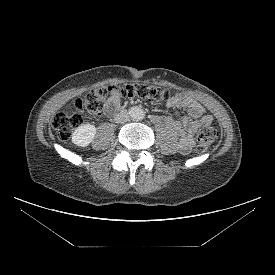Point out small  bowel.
Returning <instances> with one entry per match:
<instances>
[{
    "instance_id": "obj_1",
    "label": "small bowel",
    "mask_w": 275,
    "mask_h": 275,
    "mask_svg": "<svg viewBox=\"0 0 275 275\" xmlns=\"http://www.w3.org/2000/svg\"><path fill=\"white\" fill-rule=\"evenodd\" d=\"M169 108H187L186 115L176 113V119L167 118L166 122L171 125L179 135V150L186 154L191 150L194 136L202 121L211 122L212 117L206 115V109L196 100L189 96L178 94L167 101ZM120 108V98L116 95L111 96L105 106L104 113L107 116L114 115Z\"/></svg>"
}]
</instances>
